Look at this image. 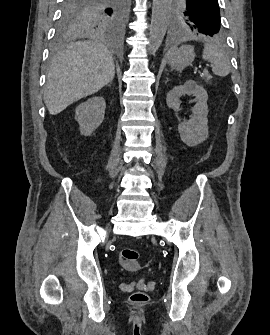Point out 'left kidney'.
Instances as JSON below:
<instances>
[{
  "mask_svg": "<svg viewBox=\"0 0 270 335\" xmlns=\"http://www.w3.org/2000/svg\"><path fill=\"white\" fill-rule=\"evenodd\" d=\"M183 94L188 96H196V106L192 108L193 116L191 120H185L178 126V132L180 138L187 146H197L202 144L208 138V94L202 86H198L194 80H187L184 86H175L173 90H170L167 94V106L172 108L174 112H179L180 98Z\"/></svg>",
  "mask_w": 270,
  "mask_h": 335,
  "instance_id": "left-kidney-1",
  "label": "left kidney"
}]
</instances>
